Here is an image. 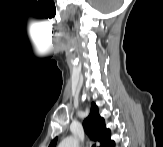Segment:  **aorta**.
Returning a JSON list of instances; mask_svg holds the SVG:
<instances>
[{"label":"aorta","instance_id":"aorta-1","mask_svg":"<svg viewBox=\"0 0 163 147\" xmlns=\"http://www.w3.org/2000/svg\"><path fill=\"white\" fill-rule=\"evenodd\" d=\"M60 147H78V141L74 137H67L61 143Z\"/></svg>","mask_w":163,"mask_h":147}]
</instances>
